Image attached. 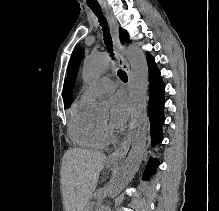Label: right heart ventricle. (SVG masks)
I'll return each mask as SVG.
<instances>
[{
  "instance_id": "right-heart-ventricle-1",
  "label": "right heart ventricle",
  "mask_w": 219,
  "mask_h": 211,
  "mask_svg": "<svg viewBox=\"0 0 219 211\" xmlns=\"http://www.w3.org/2000/svg\"><path fill=\"white\" fill-rule=\"evenodd\" d=\"M89 101L75 102L70 109L68 132L71 139L82 147L99 149L106 145L101 124L91 117Z\"/></svg>"
}]
</instances>
